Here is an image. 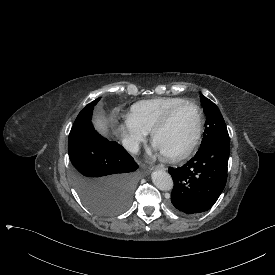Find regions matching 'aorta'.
I'll return each instance as SVG.
<instances>
[{
	"instance_id": "aorta-1",
	"label": "aorta",
	"mask_w": 275,
	"mask_h": 275,
	"mask_svg": "<svg viewBox=\"0 0 275 275\" xmlns=\"http://www.w3.org/2000/svg\"><path fill=\"white\" fill-rule=\"evenodd\" d=\"M153 184L162 191H170L173 188V180L167 172L157 170L151 174Z\"/></svg>"
}]
</instances>
